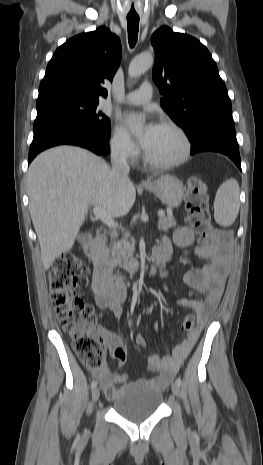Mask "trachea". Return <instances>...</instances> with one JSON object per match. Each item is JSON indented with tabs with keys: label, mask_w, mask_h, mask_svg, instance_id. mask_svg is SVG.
Returning <instances> with one entry per match:
<instances>
[{
	"label": "trachea",
	"mask_w": 263,
	"mask_h": 465,
	"mask_svg": "<svg viewBox=\"0 0 263 465\" xmlns=\"http://www.w3.org/2000/svg\"><path fill=\"white\" fill-rule=\"evenodd\" d=\"M128 26V41L130 47H134L138 39L139 31V17L138 16H127Z\"/></svg>",
	"instance_id": "trachea-1"
}]
</instances>
